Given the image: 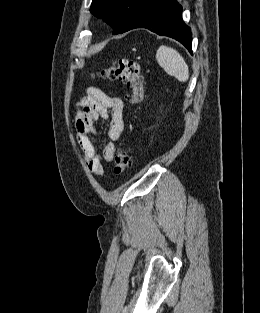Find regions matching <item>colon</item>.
Wrapping results in <instances>:
<instances>
[{
	"mask_svg": "<svg viewBox=\"0 0 260 313\" xmlns=\"http://www.w3.org/2000/svg\"><path fill=\"white\" fill-rule=\"evenodd\" d=\"M99 76L123 82L130 90L128 99L132 104H138L143 100L144 79L138 62L128 59L115 60L112 66L102 70ZM130 164L129 150L124 147L119 148L114 159V174L117 176L124 174L129 169Z\"/></svg>",
	"mask_w": 260,
	"mask_h": 313,
	"instance_id": "obj_1",
	"label": "colon"
}]
</instances>
